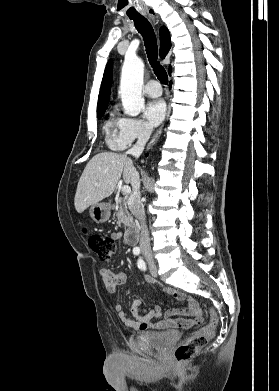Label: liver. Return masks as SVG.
Instances as JSON below:
<instances>
[{
  "label": "liver",
  "instance_id": "liver-1",
  "mask_svg": "<svg viewBox=\"0 0 279 391\" xmlns=\"http://www.w3.org/2000/svg\"><path fill=\"white\" fill-rule=\"evenodd\" d=\"M133 169V162L126 155L112 152L95 155L79 179L74 198L76 211L82 213L89 206L109 197L122 173L125 183H130Z\"/></svg>",
  "mask_w": 279,
  "mask_h": 391
}]
</instances>
